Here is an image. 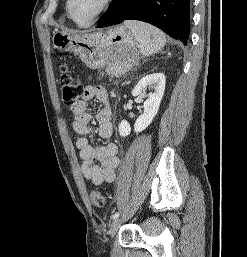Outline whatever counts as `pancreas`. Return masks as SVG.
Returning a JSON list of instances; mask_svg holds the SVG:
<instances>
[{
	"instance_id": "pancreas-1",
	"label": "pancreas",
	"mask_w": 247,
	"mask_h": 257,
	"mask_svg": "<svg viewBox=\"0 0 247 257\" xmlns=\"http://www.w3.org/2000/svg\"><path fill=\"white\" fill-rule=\"evenodd\" d=\"M127 68L123 67L119 63H111L106 67V72L111 77H119L126 73Z\"/></svg>"
}]
</instances>
